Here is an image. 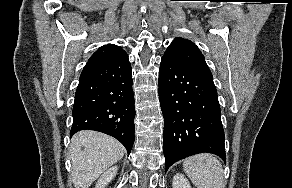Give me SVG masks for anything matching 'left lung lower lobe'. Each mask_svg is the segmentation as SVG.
<instances>
[{
  "label": "left lung lower lobe",
  "instance_id": "1",
  "mask_svg": "<svg viewBox=\"0 0 292 188\" xmlns=\"http://www.w3.org/2000/svg\"><path fill=\"white\" fill-rule=\"evenodd\" d=\"M158 84L165 120L166 170L178 160L203 152L225 160V135L213 77L163 56Z\"/></svg>",
  "mask_w": 292,
  "mask_h": 188
}]
</instances>
